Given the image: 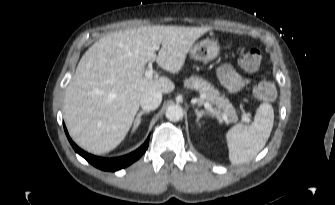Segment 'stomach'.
I'll return each mask as SVG.
<instances>
[{"mask_svg":"<svg viewBox=\"0 0 335 205\" xmlns=\"http://www.w3.org/2000/svg\"><path fill=\"white\" fill-rule=\"evenodd\" d=\"M220 53V45L216 40L204 39L190 49L191 57L196 61L208 62L215 59Z\"/></svg>","mask_w":335,"mask_h":205,"instance_id":"1","label":"stomach"}]
</instances>
